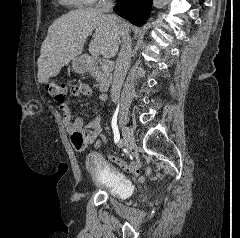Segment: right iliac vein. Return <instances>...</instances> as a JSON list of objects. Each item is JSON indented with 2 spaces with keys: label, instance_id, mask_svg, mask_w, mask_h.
Here are the masks:
<instances>
[{
  "label": "right iliac vein",
  "instance_id": "obj_1",
  "mask_svg": "<svg viewBox=\"0 0 240 238\" xmlns=\"http://www.w3.org/2000/svg\"><path fill=\"white\" fill-rule=\"evenodd\" d=\"M123 141L127 146L128 151H132L135 147V138L132 130L129 127H122Z\"/></svg>",
  "mask_w": 240,
  "mask_h": 238
}]
</instances>
